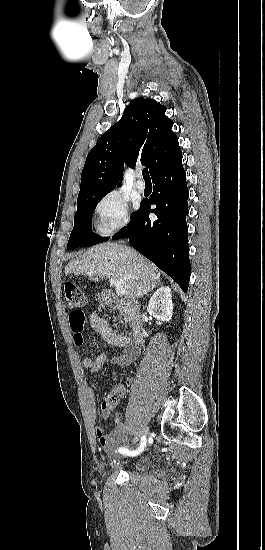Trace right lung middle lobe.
Wrapping results in <instances>:
<instances>
[{
    "label": "right lung middle lobe",
    "mask_w": 265,
    "mask_h": 550,
    "mask_svg": "<svg viewBox=\"0 0 265 550\" xmlns=\"http://www.w3.org/2000/svg\"><path fill=\"white\" fill-rule=\"evenodd\" d=\"M97 196L92 198L77 199L78 209L75 213L74 228L71 232L67 249L71 250L77 247L90 246L108 240V237H100L92 233L91 223L92 214L98 202L104 197ZM136 212L132 213L131 218Z\"/></svg>",
    "instance_id": "right-lung-middle-lobe-1"
}]
</instances>
